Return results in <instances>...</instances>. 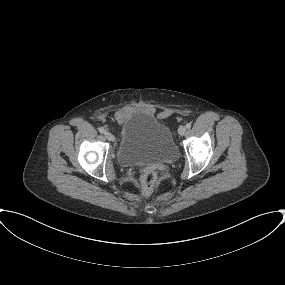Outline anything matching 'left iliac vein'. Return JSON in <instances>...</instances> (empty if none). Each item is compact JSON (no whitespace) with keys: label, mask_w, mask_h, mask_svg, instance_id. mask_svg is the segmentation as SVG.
Returning a JSON list of instances; mask_svg holds the SVG:
<instances>
[{"label":"left iliac vein","mask_w":285,"mask_h":285,"mask_svg":"<svg viewBox=\"0 0 285 285\" xmlns=\"http://www.w3.org/2000/svg\"><path fill=\"white\" fill-rule=\"evenodd\" d=\"M178 133L183 136L186 133V127L185 126H180L178 129Z\"/></svg>","instance_id":"left-iliac-vein-1"}]
</instances>
